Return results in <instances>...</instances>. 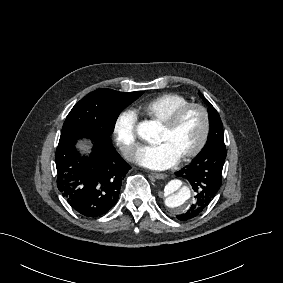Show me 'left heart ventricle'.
Returning a JSON list of instances; mask_svg holds the SVG:
<instances>
[{
    "mask_svg": "<svg viewBox=\"0 0 283 283\" xmlns=\"http://www.w3.org/2000/svg\"><path fill=\"white\" fill-rule=\"evenodd\" d=\"M203 133V119L196 109L187 111L171 131L163 126L155 143H167L179 157L192 150L200 141Z\"/></svg>",
    "mask_w": 283,
    "mask_h": 283,
    "instance_id": "1",
    "label": "left heart ventricle"
}]
</instances>
